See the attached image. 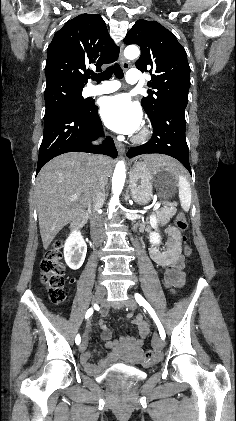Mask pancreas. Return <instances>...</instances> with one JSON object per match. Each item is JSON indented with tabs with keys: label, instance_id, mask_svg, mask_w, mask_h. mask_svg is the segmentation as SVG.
Instances as JSON below:
<instances>
[{
	"label": "pancreas",
	"instance_id": "1",
	"mask_svg": "<svg viewBox=\"0 0 236 421\" xmlns=\"http://www.w3.org/2000/svg\"><path fill=\"white\" fill-rule=\"evenodd\" d=\"M164 204L165 206H162V208H158V211H155V215L161 225L169 223L171 217H174L175 213H177L175 202H164ZM133 223H135V221H133ZM136 227H140V231L145 229V225H143V223H136V225H134V229H136Z\"/></svg>",
	"mask_w": 236,
	"mask_h": 421
}]
</instances>
